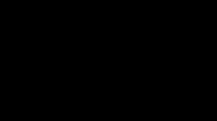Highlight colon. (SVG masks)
<instances>
[{"instance_id":"1","label":"colon","mask_w":217,"mask_h":121,"mask_svg":"<svg viewBox=\"0 0 217 121\" xmlns=\"http://www.w3.org/2000/svg\"><path fill=\"white\" fill-rule=\"evenodd\" d=\"M62 22L63 18L58 12H51L45 18L42 29L47 35H55L58 33Z\"/></svg>"}]
</instances>
